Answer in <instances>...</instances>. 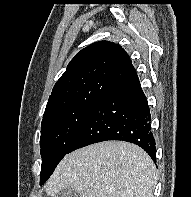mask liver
Returning <instances> with one entry per match:
<instances>
[{"instance_id":"obj_1","label":"liver","mask_w":191,"mask_h":197,"mask_svg":"<svg viewBox=\"0 0 191 197\" xmlns=\"http://www.w3.org/2000/svg\"><path fill=\"white\" fill-rule=\"evenodd\" d=\"M157 179L155 164L142 148L106 141L67 154L45 190L51 197L68 187L80 197H153Z\"/></svg>"}]
</instances>
